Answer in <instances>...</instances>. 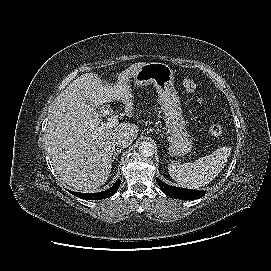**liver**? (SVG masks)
I'll return each mask as SVG.
<instances>
[{
    "mask_svg": "<svg viewBox=\"0 0 271 271\" xmlns=\"http://www.w3.org/2000/svg\"><path fill=\"white\" fill-rule=\"evenodd\" d=\"M144 64L135 63L122 71L113 86L96 73L83 74L55 99L48 116L46 146L55 172L68 186L92 191L104 185L112 168L115 136L124 132L137 138L138 127L133 123L97 131L101 114L86 100L95 105L116 100L132 116L134 96L127 83Z\"/></svg>",
    "mask_w": 271,
    "mask_h": 271,
    "instance_id": "1",
    "label": "liver"
}]
</instances>
